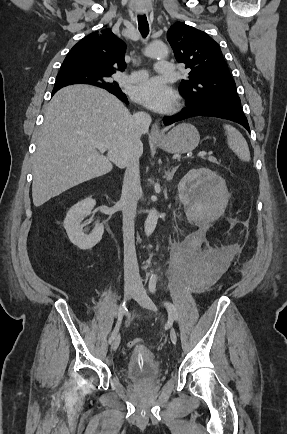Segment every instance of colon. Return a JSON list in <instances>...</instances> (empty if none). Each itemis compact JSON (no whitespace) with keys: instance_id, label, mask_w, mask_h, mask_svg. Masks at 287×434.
Segmentation results:
<instances>
[{"instance_id":"1","label":"colon","mask_w":287,"mask_h":434,"mask_svg":"<svg viewBox=\"0 0 287 434\" xmlns=\"http://www.w3.org/2000/svg\"><path fill=\"white\" fill-rule=\"evenodd\" d=\"M142 345H143L142 340H141V339H138V338L133 339V340H130V341L128 342V346H129L130 348L141 347Z\"/></svg>"}]
</instances>
